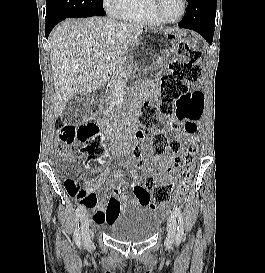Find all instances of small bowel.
<instances>
[{
	"mask_svg": "<svg viewBox=\"0 0 265 273\" xmlns=\"http://www.w3.org/2000/svg\"><path fill=\"white\" fill-rule=\"evenodd\" d=\"M130 146L120 148L116 145L112 146L111 152L114 155H119L125 152H129ZM152 162L144 164L142 161V172L144 174L154 173L159 179L164 176L166 171H169L177 161L178 156L175 153L167 151L161 156L151 155ZM127 167L130 169V187L134 191V196L130 197L122 189V170L115 168L109 177L100 176L95 180H89L85 182L86 194L80 197H76L75 200L80 202L82 206L90 208L93 213V224L97 228H103L111 220H113L117 214L125 208L127 205L136 204H151V190H147V186H143L141 183V177H139L137 170L132 166L130 162H126ZM109 185L112 187V195L99 196L96 194V190L102 186ZM124 204H121V202ZM119 206V208L116 207Z\"/></svg>",
	"mask_w": 265,
	"mask_h": 273,
	"instance_id": "small-bowel-1",
	"label": "small bowel"
}]
</instances>
